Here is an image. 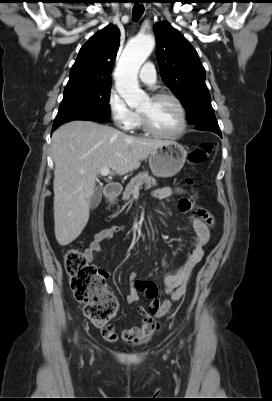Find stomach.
I'll return each instance as SVG.
<instances>
[{
	"instance_id": "0dacf381",
	"label": "stomach",
	"mask_w": 272,
	"mask_h": 401,
	"mask_svg": "<svg viewBox=\"0 0 272 401\" xmlns=\"http://www.w3.org/2000/svg\"><path fill=\"white\" fill-rule=\"evenodd\" d=\"M186 157L187 151L181 144L168 141L152 152L149 157V166L156 177H173L184 166Z\"/></svg>"
}]
</instances>
